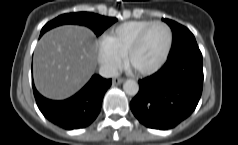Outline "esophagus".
I'll return each mask as SVG.
<instances>
[{"instance_id":"34e87169","label":"esophagus","mask_w":238,"mask_h":145,"mask_svg":"<svg viewBox=\"0 0 238 145\" xmlns=\"http://www.w3.org/2000/svg\"><path fill=\"white\" fill-rule=\"evenodd\" d=\"M123 81H124L123 78H114V79L112 80V83H113L114 85H118V84H121Z\"/></svg>"}]
</instances>
